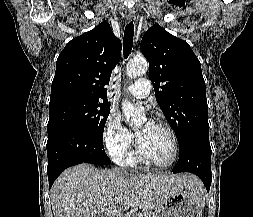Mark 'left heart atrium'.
I'll list each match as a JSON object with an SVG mask.
<instances>
[{"instance_id": "obj_1", "label": "left heart atrium", "mask_w": 253, "mask_h": 217, "mask_svg": "<svg viewBox=\"0 0 253 217\" xmlns=\"http://www.w3.org/2000/svg\"><path fill=\"white\" fill-rule=\"evenodd\" d=\"M147 125L150 126V125H152V124H151V123H148Z\"/></svg>"}]
</instances>
